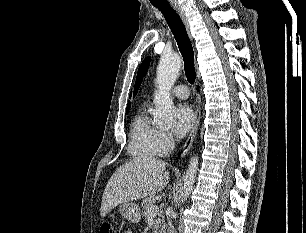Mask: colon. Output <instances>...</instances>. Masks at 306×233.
<instances>
[{"label":"colon","mask_w":306,"mask_h":233,"mask_svg":"<svg viewBox=\"0 0 306 233\" xmlns=\"http://www.w3.org/2000/svg\"><path fill=\"white\" fill-rule=\"evenodd\" d=\"M100 233H116V230L111 223H104L100 227Z\"/></svg>","instance_id":"colon-1"}]
</instances>
